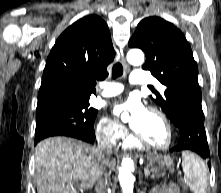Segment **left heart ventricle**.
Here are the masks:
<instances>
[{
  "label": "left heart ventricle",
  "instance_id": "left-heart-ventricle-1",
  "mask_svg": "<svg viewBox=\"0 0 221 193\" xmlns=\"http://www.w3.org/2000/svg\"><path fill=\"white\" fill-rule=\"evenodd\" d=\"M134 129L155 145L165 144L168 138L167 130L163 121L158 115L151 111H147L144 118L134 127Z\"/></svg>",
  "mask_w": 221,
  "mask_h": 193
}]
</instances>
